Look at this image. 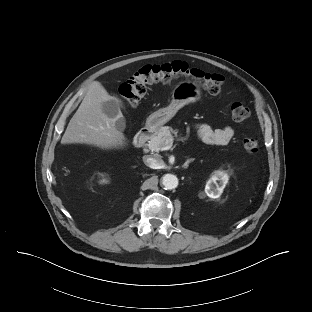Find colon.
<instances>
[{
  "instance_id": "colon-1",
  "label": "colon",
  "mask_w": 312,
  "mask_h": 312,
  "mask_svg": "<svg viewBox=\"0 0 312 312\" xmlns=\"http://www.w3.org/2000/svg\"><path fill=\"white\" fill-rule=\"evenodd\" d=\"M180 78L193 80L210 94H218L224 83V78L219 74L207 73L183 62L174 61L141 67L129 80L120 85L119 94L128 106L136 107L145 96L149 85L168 84ZM230 114L233 121L242 122L249 117V109L237 102L232 104ZM243 148L246 152L254 154L259 150V142L254 137H247L243 140Z\"/></svg>"
}]
</instances>
